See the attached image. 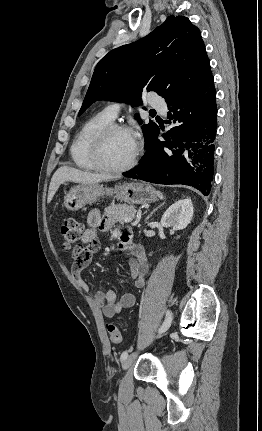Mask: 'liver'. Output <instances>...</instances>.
Returning a JSON list of instances; mask_svg holds the SVG:
<instances>
[{"label": "liver", "instance_id": "obj_1", "mask_svg": "<svg viewBox=\"0 0 262 431\" xmlns=\"http://www.w3.org/2000/svg\"><path fill=\"white\" fill-rule=\"evenodd\" d=\"M114 178L115 177L111 175L90 173V172L81 171L68 166H62L58 168L57 171L52 176V179L49 185V190H48L47 202L48 203L51 202L59 186L64 182L70 181V182L80 183V184H91V183H99L102 181H108Z\"/></svg>", "mask_w": 262, "mask_h": 431}]
</instances>
